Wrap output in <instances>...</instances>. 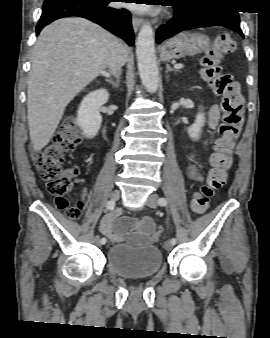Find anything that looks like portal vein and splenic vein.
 <instances>
[{
  "label": "portal vein and splenic vein",
  "instance_id": "obj_1",
  "mask_svg": "<svg viewBox=\"0 0 270 338\" xmlns=\"http://www.w3.org/2000/svg\"><path fill=\"white\" fill-rule=\"evenodd\" d=\"M174 68L175 69H181V68H183V65L182 64H175Z\"/></svg>",
  "mask_w": 270,
  "mask_h": 338
}]
</instances>
